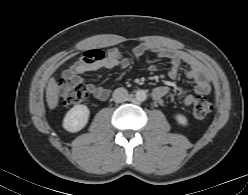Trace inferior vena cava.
<instances>
[{
  "mask_svg": "<svg viewBox=\"0 0 248 195\" xmlns=\"http://www.w3.org/2000/svg\"><path fill=\"white\" fill-rule=\"evenodd\" d=\"M128 98V91L125 88H117L113 92V100L116 103H122Z\"/></svg>",
  "mask_w": 248,
  "mask_h": 195,
  "instance_id": "inferior-vena-cava-1",
  "label": "inferior vena cava"
}]
</instances>
